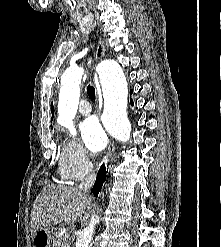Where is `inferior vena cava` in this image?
I'll return each mask as SVG.
<instances>
[{
    "instance_id": "inferior-vena-cava-1",
    "label": "inferior vena cava",
    "mask_w": 221,
    "mask_h": 247,
    "mask_svg": "<svg viewBox=\"0 0 221 247\" xmlns=\"http://www.w3.org/2000/svg\"><path fill=\"white\" fill-rule=\"evenodd\" d=\"M95 182V173L91 172L88 174L85 179L82 181V183L79 185V189L83 192H87L88 189H90Z\"/></svg>"
}]
</instances>
